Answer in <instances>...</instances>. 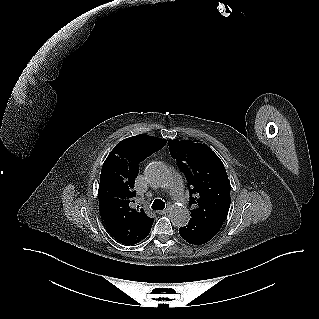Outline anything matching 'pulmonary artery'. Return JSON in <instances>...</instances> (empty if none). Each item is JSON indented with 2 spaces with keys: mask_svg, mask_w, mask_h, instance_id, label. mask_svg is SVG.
Instances as JSON below:
<instances>
[{
  "mask_svg": "<svg viewBox=\"0 0 319 319\" xmlns=\"http://www.w3.org/2000/svg\"><path fill=\"white\" fill-rule=\"evenodd\" d=\"M169 191L176 201L185 202L186 197L183 190L182 179L179 176H175L172 184L169 187Z\"/></svg>",
  "mask_w": 319,
  "mask_h": 319,
  "instance_id": "obj_1",
  "label": "pulmonary artery"
}]
</instances>
